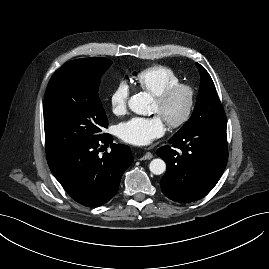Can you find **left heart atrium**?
Returning <instances> with one entry per match:
<instances>
[{
  "label": "left heart atrium",
  "instance_id": "left-heart-atrium-1",
  "mask_svg": "<svg viewBox=\"0 0 269 269\" xmlns=\"http://www.w3.org/2000/svg\"><path fill=\"white\" fill-rule=\"evenodd\" d=\"M163 118L156 114L151 117H132L117 127L118 136L134 145H146L164 133Z\"/></svg>",
  "mask_w": 269,
  "mask_h": 269
}]
</instances>
